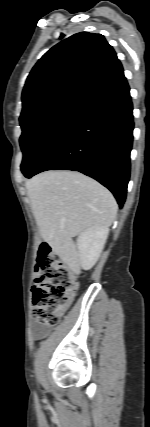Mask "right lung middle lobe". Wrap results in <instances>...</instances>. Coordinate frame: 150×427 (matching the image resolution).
I'll return each mask as SVG.
<instances>
[{"instance_id":"obj_1","label":"right lung middle lobe","mask_w":150,"mask_h":427,"mask_svg":"<svg viewBox=\"0 0 150 427\" xmlns=\"http://www.w3.org/2000/svg\"><path fill=\"white\" fill-rule=\"evenodd\" d=\"M78 109L77 105L53 104L36 108L20 117L21 171L26 177L36 169Z\"/></svg>"}]
</instances>
